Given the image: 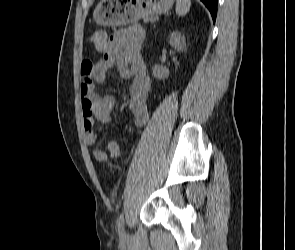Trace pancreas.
Segmentation results:
<instances>
[{"label":"pancreas","mask_w":295,"mask_h":250,"mask_svg":"<svg viewBox=\"0 0 295 250\" xmlns=\"http://www.w3.org/2000/svg\"><path fill=\"white\" fill-rule=\"evenodd\" d=\"M148 21H154V20H153V18L145 17L144 22H148Z\"/></svg>","instance_id":"1"}]
</instances>
